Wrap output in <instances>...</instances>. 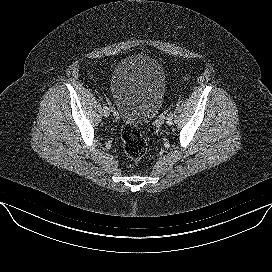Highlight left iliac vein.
Wrapping results in <instances>:
<instances>
[{
    "instance_id": "obj_1",
    "label": "left iliac vein",
    "mask_w": 272,
    "mask_h": 272,
    "mask_svg": "<svg viewBox=\"0 0 272 272\" xmlns=\"http://www.w3.org/2000/svg\"><path fill=\"white\" fill-rule=\"evenodd\" d=\"M172 122H173V116H167V117H166V123H167L168 125H171Z\"/></svg>"
}]
</instances>
